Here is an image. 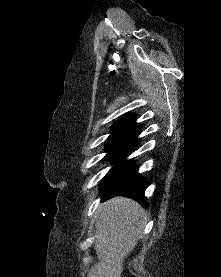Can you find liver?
<instances>
[{"mask_svg": "<svg viewBox=\"0 0 221 277\" xmlns=\"http://www.w3.org/2000/svg\"><path fill=\"white\" fill-rule=\"evenodd\" d=\"M94 248L98 263L88 277H121L124 259L134 249L147 222V213L130 198L116 197L96 211Z\"/></svg>", "mask_w": 221, "mask_h": 277, "instance_id": "1", "label": "liver"}]
</instances>
